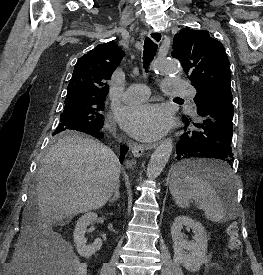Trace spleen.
Listing matches in <instances>:
<instances>
[{
  "instance_id": "1",
  "label": "spleen",
  "mask_w": 263,
  "mask_h": 275,
  "mask_svg": "<svg viewBox=\"0 0 263 275\" xmlns=\"http://www.w3.org/2000/svg\"><path fill=\"white\" fill-rule=\"evenodd\" d=\"M202 168L224 170V174L220 178V184L225 191L224 202L211 184L197 174L198 169ZM181 169L187 172L185 171L181 175H176L174 172L170 185V192L176 205L181 208H188L190 200H195L198 208L204 211L208 220L221 223L230 219L235 206V177L230 168L221 162L198 160L181 165Z\"/></svg>"
}]
</instances>
